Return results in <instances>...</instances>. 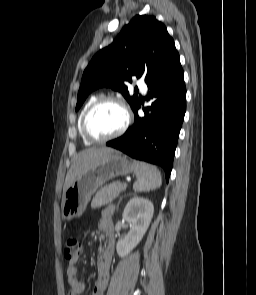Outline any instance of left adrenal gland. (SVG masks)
Returning a JSON list of instances; mask_svg holds the SVG:
<instances>
[{"instance_id": "obj_1", "label": "left adrenal gland", "mask_w": 256, "mask_h": 295, "mask_svg": "<svg viewBox=\"0 0 256 295\" xmlns=\"http://www.w3.org/2000/svg\"><path fill=\"white\" fill-rule=\"evenodd\" d=\"M122 199H123V197H121V198L119 199V201H118V204H117V210H118V208H119V204H120V202L122 201Z\"/></svg>"}]
</instances>
